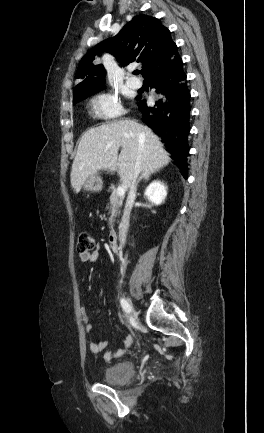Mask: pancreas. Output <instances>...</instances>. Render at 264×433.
Listing matches in <instances>:
<instances>
[{"label": "pancreas", "instance_id": "pancreas-1", "mask_svg": "<svg viewBox=\"0 0 264 433\" xmlns=\"http://www.w3.org/2000/svg\"><path fill=\"white\" fill-rule=\"evenodd\" d=\"M124 197H120L117 195L116 190L112 191V194L110 196V202L107 205V209L109 210V213L111 214L109 218V226L110 228L113 227V223L115 220V217L119 214V209L122 207Z\"/></svg>", "mask_w": 264, "mask_h": 433}]
</instances>
